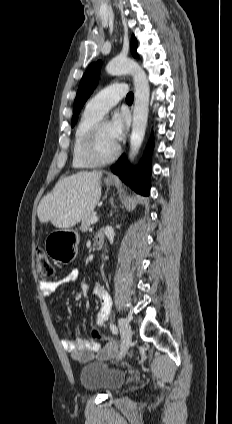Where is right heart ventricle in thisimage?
I'll use <instances>...</instances> for the list:
<instances>
[{"label": "right heart ventricle", "mask_w": 232, "mask_h": 424, "mask_svg": "<svg viewBox=\"0 0 232 424\" xmlns=\"http://www.w3.org/2000/svg\"><path fill=\"white\" fill-rule=\"evenodd\" d=\"M101 118L100 115L85 108L74 130L72 144V166L76 169L92 167L82 157L81 148L83 141L95 122Z\"/></svg>", "instance_id": "obj_1"}]
</instances>
